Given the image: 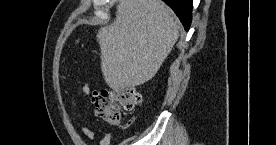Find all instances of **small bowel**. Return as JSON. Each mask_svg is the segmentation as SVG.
Listing matches in <instances>:
<instances>
[{
	"instance_id": "obj_1",
	"label": "small bowel",
	"mask_w": 276,
	"mask_h": 145,
	"mask_svg": "<svg viewBox=\"0 0 276 145\" xmlns=\"http://www.w3.org/2000/svg\"><path fill=\"white\" fill-rule=\"evenodd\" d=\"M81 91L84 95L89 96L91 94V88L88 84H83L81 87ZM76 107V102L75 100L72 98L69 101V108L70 109H74ZM80 116H82V112H80ZM81 133L89 140L94 139V132L87 128V127H81L80 128ZM111 134L110 133H105L100 141V145H110L111 143Z\"/></svg>"
}]
</instances>
